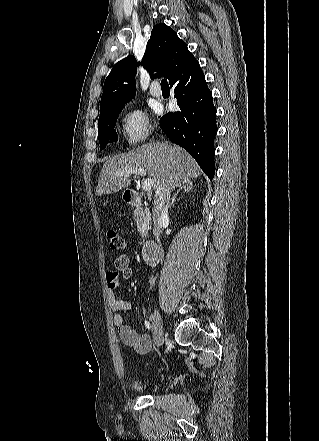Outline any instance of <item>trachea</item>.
Instances as JSON below:
<instances>
[{
    "label": "trachea",
    "mask_w": 319,
    "mask_h": 441,
    "mask_svg": "<svg viewBox=\"0 0 319 441\" xmlns=\"http://www.w3.org/2000/svg\"><path fill=\"white\" fill-rule=\"evenodd\" d=\"M161 87H162V88H169V84H168V82H167L166 79H163V80L161 81Z\"/></svg>",
    "instance_id": "3493384b"
}]
</instances>
